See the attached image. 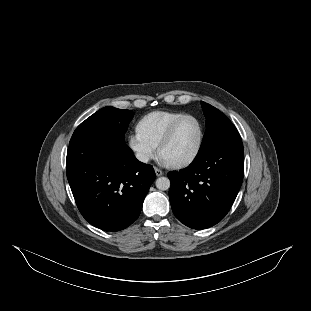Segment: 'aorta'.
I'll use <instances>...</instances> for the list:
<instances>
[{
  "instance_id": "762f6f07",
  "label": "aorta",
  "mask_w": 311,
  "mask_h": 311,
  "mask_svg": "<svg viewBox=\"0 0 311 311\" xmlns=\"http://www.w3.org/2000/svg\"><path fill=\"white\" fill-rule=\"evenodd\" d=\"M155 184H156L157 189H159L161 191H166L171 186V182H170V179L168 177H159L156 180Z\"/></svg>"
}]
</instances>
